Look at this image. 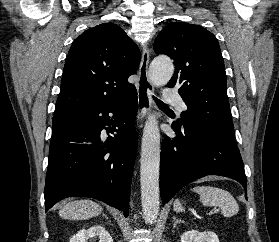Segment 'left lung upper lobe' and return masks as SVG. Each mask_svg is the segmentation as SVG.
<instances>
[{
    "label": "left lung upper lobe",
    "mask_w": 279,
    "mask_h": 242,
    "mask_svg": "<svg viewBox=\"0 0 279 242\" xmlns=\"http://www.w3.org/2000/svg\"><path fill=\"white\" fill-rule=\"evenodd\" d=\"M154 51L175 62L168 87H177L188 107L176 124L235 140L224 61L215 36L198 25L171 23L158 34Z\"/></svg>",
    "instance_id": "1"
}]
</instances>
